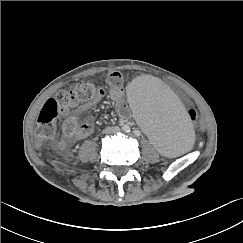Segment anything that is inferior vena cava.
<instances>
[{
    "mask_svg": "<svg viewBox=\"0 0 243 243\" xmlns=\"http://www.w3.org/2000/svg\"><path fill=\"white\" fill-rule=\"evenodd\" d=\"M119 129H118V127H111V128H108L107 130H106V132L107 133H115V132H117Z\"/></svg>",
    "mask_w": 243,
    "mask_h": 243,
    "instance_id": "1",
    "label": "inferior vena cava"
}]
</instances>
